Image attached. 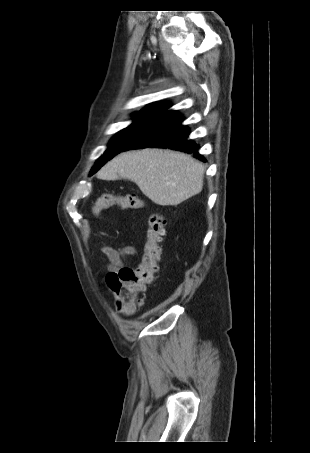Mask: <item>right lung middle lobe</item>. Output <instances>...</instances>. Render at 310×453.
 <instances>
[{"instance_id":"1","label":"right lung middle lobe","mask_w":310,"mask_h":453,"mask_svg":"<svg viewBox=\"0 0 310 453\" xmlns=\"http://www.w3.org/2000/svg\"><path fill=\"white\" fill-rule=\"evenodd\" d=\"M157 118L135 117L127 128L119 131L110 141L108 149L105 151L92 168L91 175L94 174L108 160L120 153L133 139L149 127Z\"/></svg>"}]
</instances>
